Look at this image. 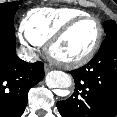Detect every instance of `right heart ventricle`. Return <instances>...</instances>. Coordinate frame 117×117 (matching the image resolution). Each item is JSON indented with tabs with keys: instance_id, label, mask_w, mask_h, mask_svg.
Listing matches in <instances>:
<instances>
[{
	"instance_id": "e07e8e85",
	"label": "right heart ventricle",
	"mask_w": 117,
	"mask_h": 117,
	"mask_svg": "<svg viewBox=\"0 0 117 117\" xmlns=\"http://www.w3.org/2000/svg\"><path fill=\"white\" fill-rule=\"evenodd\" d=\"M87 15L77 8H38L30 11L23 21L26 38L35 45H43L65 23Z\"/></svg>"
}]
</instances>
